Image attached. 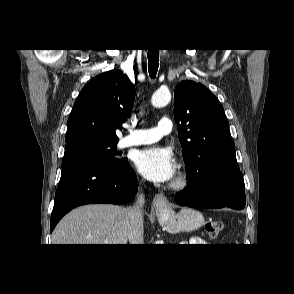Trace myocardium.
Returning <instances> with one entry per match:
<instances>
[{
  "instance_id": "1",
  "label": "myocardium",
  "mask_w": 294,
  "mask_h": 294,
  "mask_svg": "<svg viewBox=\"0 0 294 294\" xmlns=\"http://www.w3.org/2000/svg\"><path fill=\"white\" fill-rule=\"evenodd\" d=\"M188 185V176L181 172L172 182L171 188L175 191H181L185 189Z\"/></svg>"
}]
</instances>
